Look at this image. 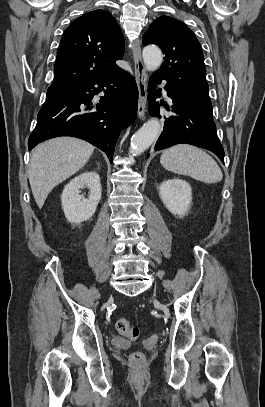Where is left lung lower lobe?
<instances>
[{"label": "left lung lower lobe", "mask_w": 265, "mask_h": 407, "mask_svg": "<svg viewBox=\"0 0 265 407\" xmlns=\"http://www.w3.org/2000/svg\"><path fill=\"white\" fill-rule=\"evenodd\" d=\"M162 79L157 72L150 77L148 97L149 100L152 99L153 103L161 95L159 94L161 89H155ZM165 89L168 96L172 99L171 111L175 115L163 117V132L155 145V150H161L175 144L187 143L212 151L224 163V149L217 136L212 113L181 97L168 84H166ZM165 108L169 110L168 105H165ZM149 113L151 116L161 117L158 102L149 105Z\"/></svg>", "instance_id": "obj_1"}]
</instances>
